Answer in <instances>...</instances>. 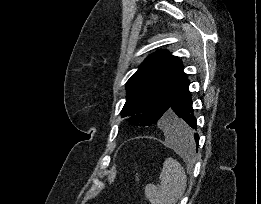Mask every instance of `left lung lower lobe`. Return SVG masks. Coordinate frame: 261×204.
<instances>
[{"mask_svg": "<svg viewBox=\"0 0 261 204\" xmlns=\"http://www.w3.org/2000/svg\"><path fill=\"white\" fill-rule=\"evenodd\" d=\"M188 78L177 92L166 118L162 123L167 133L177 141H184L186 145L189 139L199 142V136L194 133L197 129V121L193 114L191 94L188 89Z\"/></svg>", "mask_w": 261, "mask_h": 204, "instance_id": "0a47b994", "label": "left lung lower lobe"}]
</instances>
